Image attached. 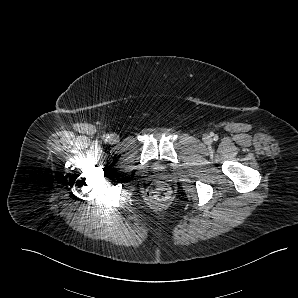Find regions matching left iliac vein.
Listing matches in <instances>:
<instances>
[{
    "label": "left iliac vein",
    "instance_id": "4c4485c4",
    "mask_svg": "<svg viewBox=\"0 0 298 298\" xmlns=\"http://www.w3.org/2000/svg\"><path fill=\"white\" fill-rule=\"evenodd\" d=\"M204 141L205 142H209L210 141V138L209 137H204Z\"/></svg>",
    "mask_w": 298,
    "mask_h": 298
}]
</instances>
